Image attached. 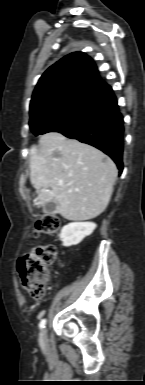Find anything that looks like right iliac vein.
Here are the masks:
<instances>
[{
  "label": "right iliac vein",
  "instance_id": "1",
  "mask_svg": "<svg viewBox=\"0 0 145 385\" xmlns=\"http://www.w3.org/2000/svg\"><path fill=\"white\" fill-rule=\"evenodd\" d=\"M46 339H47V331H46V329H43V330L40 332L39 340H40V342H45Z\"/></svg>",
  "mask_w": 145,
  "mask_h": 385
}]
</instances>
